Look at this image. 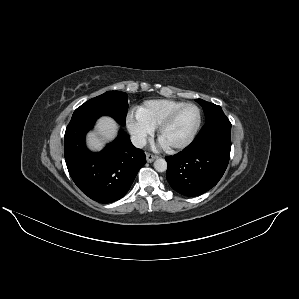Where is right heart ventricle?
<instances>
[{"mask_svg":"<svg viewBox=\"0 0 299 299\" xmlns=\"http://www.w3.org/2000/svg\"><path fill=\"white\" fill-rule=\"evenodd\" d=\"M184 104L171 99H154L144 102L137 110L139 117L153 129L175 108Z\"/></svg>","mask_w":299,"mask_h":299,"instance_id":"right-heart-ventricle-1","label":"right heart ventricle"}]
</instances>
